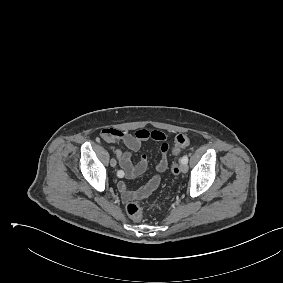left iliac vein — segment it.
Returning <instances> with one entry per match:
<instances>
[{
    "label": "left iliac vein",
    "instance_id": "left-iliac-vein-1",
    "mask_svg": "<svg viewBox=\"0 0 283 283\" xmlns=\"http://www.w3.org/2000/svg\"><path fill=\"white\" fill-rule=\"evenodd\" d=\"M180 170L181 172L186 173L188 171V165L182 163L180 166Z\"/></svg>",
    "mask_w": 283,
    "mask_h": 283
}]
</instances>
